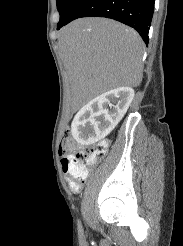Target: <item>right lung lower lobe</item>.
Masks as SVG:
<instances>
[{
    "label": "right lung lower lobe",
    "instance_id": "1",
    "mask_svg": "<svg viewBox=\"0 0 183 246\" xmlns=\"http://www.w3.org/2000/svg\"><path fill=\"white\" fill-rule=\"evenodd\" d=\"M155 0H79L68 19L57 25L59 30L80 17H106L134 28L148 44Z\"/></svg>",
    "mask_w": 183,
    "mask_h": 246
}]
</instances>
